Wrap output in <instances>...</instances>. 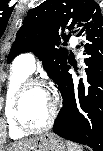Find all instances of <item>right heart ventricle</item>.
Listing matches in <instances>:
<instances>
[{
    "label": "right heart ventricle",
    "mask_w": 103,
    "mask_h": 151,
    "mask_svg": "<svg viewBox=\"0 0 103 151\" xmlns=\"http://www.w3.org/2000/svg\"><path fill=\"white\" fill-rule=\"evenodd\" d=\"M29 75L30 74H28L27 72H25L23 69H21L15 64L13 66V70L5 93L4 114L8 126V134L14 140L21 139L26 135V133L20 131L15 126L12 120L11 110H12V102L15 93L22 85V83L28 79Z\"/></svg>",
    "instance_id": "1"
}]
</instances>
